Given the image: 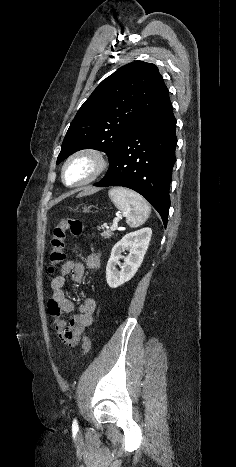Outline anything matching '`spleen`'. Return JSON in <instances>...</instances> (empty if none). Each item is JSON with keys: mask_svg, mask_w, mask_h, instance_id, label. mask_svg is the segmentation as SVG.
<instances>
[{"mask_svg": "<svg viewBox=\"0 0 236 467\" xmlns=\"http://www.w3.org/2000/svg\"><path fill=\"white\" fill-rule=\"evenodd\" d=\"M108 194L114 205L124 213L130 227H138L148 219L151 209L140 194L122 187L112 188Z\"/></svg>", "mask_w": 236, "mask_h": 467, "instance_id": "1", "label": "spleen"}]
</instances>
